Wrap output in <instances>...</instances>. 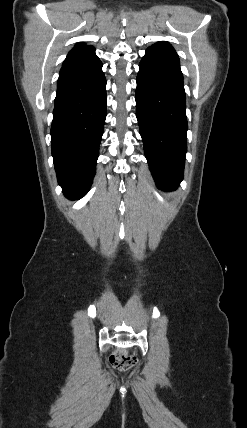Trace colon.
Masks as SVG:
<instances>
[{"instance_id": "obj_1", "label": "colon", "mask_w": 247, "mask_h": 428, "mask_svg": "<svg viewBox=\"0 0 247 428\" xmlns=\"http://www.w3.org/2000/svg\"><path fill=\"white\" fill-rule=\"evenodd\" d=\"M136 362L134 355H129L125 351H118L110 357V363L117 369H127L133 366Z\"/></svg>"}]
</instances>
